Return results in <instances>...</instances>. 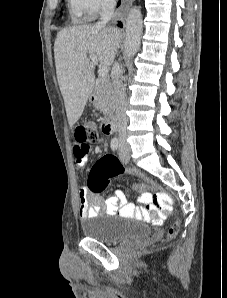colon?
I'll return each mask as SVG.
<instances>
[{
  "instance_id": "colon-1",
  "label": "colon",
  "mask_w": 227,
  "mask_h": 298,
  "mask_svg": "<svg viewBox=\"0 0 227 298\" xmlns=\"http://www.w3.org/2000/svg\"><path fill=\"white\" fill-rule=\"evenodd\" d=\"M99 132L94 122H87L75 128L74 139L79 142H95L98 138ZM89 152V151H88ZM123 172L122 165L112 156H104L92 166L88 177V188L91 192L100 194L108 186L109 180ZM138 190H151L155 192L158 185L150 180H143V183L134 186ZM153 205L156 211L160 213H169L170 198L167 194L162 192L154 193ZM158 216V215H157ZM158 216L156 221H160ZM179 231V222L176 221L168 230V237L173 238Z\"/></svg>"
}]
</instances>
